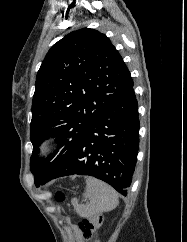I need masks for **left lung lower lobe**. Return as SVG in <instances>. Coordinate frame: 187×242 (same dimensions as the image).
I'll list each match as a JSON object with an SVG mask.
<instances>
[{
	"instance_id": "obj_1",
	"label": "left lung lower lobe",
	"mask_w": 187,
	"mask_h": 242,
	"mask_svg": "<svg viewBox=\"0 0 187 242\" xmlns=\"http://www.w3.org/2000/svg\"><path fill=\"white\" fill-rule=\"evenodd\" d=\"M138 146V105L132 85L92 122L62 163L50 173L35 177V185L39 187L66 175H89L126 195L136 165Z\"/></svg>"
}]
</instances>
